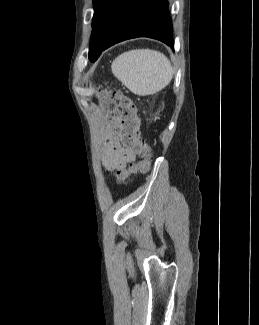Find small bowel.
<instances>
[{
  "mask_svg": "<svg viewBox=\"0 0 259 325\" xmlns=\"http://www.w3.org/2000/svg\"><path fill=\"white\" fill-rule=\"evenodd\" d=\"M107 141L108 147L103 158L106 170L123 169L127 163L135 159L137 154L128 149L122 142L121 128L111 129Z\"/></svg>",
  "mask_w": 259,
  "mask_h": 325,
  "instance_id": "c3829d8e",
  "label": "small bowel"
}]
</instances>
